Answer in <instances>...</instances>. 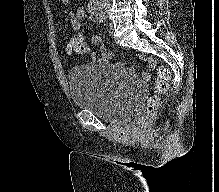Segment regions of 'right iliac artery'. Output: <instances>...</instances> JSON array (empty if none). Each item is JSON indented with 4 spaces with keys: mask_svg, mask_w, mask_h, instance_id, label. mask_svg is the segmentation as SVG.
<instances>
[{
    "mask_svg": "<svg viewBox=\"0 0 219 192\" xmlns=\"http://www.w3.org/2000/svg\"><path fill=\"white\" fill-rule=\"evenodd\" d=\"M96 20H97V22H99V23H103V21H104V15H103L102 13H97V14H96Z\"/></svg>",
    "mask_w": 219,
    "mask_h": 192,
    "instance_id": "right-iliac-artery-1",
    "label": "right iliac artery"
}]
</instances>
